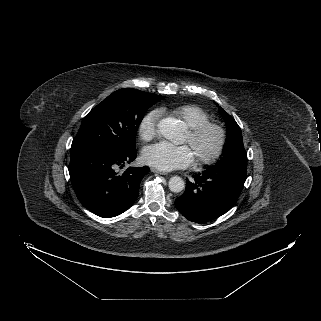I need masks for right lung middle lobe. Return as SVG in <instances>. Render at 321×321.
<instances>
[{"instance_id":"obj_1","label":"right lung middle lobe","mask_w":321,"mask_h":321,"mask_svg":"<svg viewBox=\"0 0 321 321\" xmlns=\"http://www.w3.org/2000/svg\"><path fill=\"white\" fill-rule=\"evenodd\" d=\"M164 97L132 88L119 89L83 119L71 151L94 148L124 154L136 148V133L144 113Z\"/></svg>"}]
</instances>
